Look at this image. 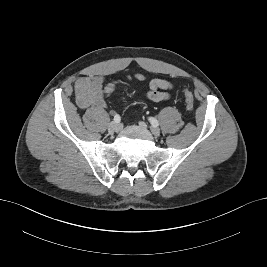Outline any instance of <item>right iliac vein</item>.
Instances as JSON below:
<instances>
[{
  "label": "right iliac vein",
  "instance_id": "63e3f726",
  "mask_svg": "<svg viewBox=\"0 0 267 267\" xmlns=\"http://www.w3.org/2000/svg\"><path fill=\"white\" fill-rule=\"evenodd\" d=\"M118 129H119V125H118V123H116L114 121H112L108 126V132L111 134L117 132Z\"/></svg>",
  "mask_w": 267,
  "mask_h": 267
}]
</instances>
